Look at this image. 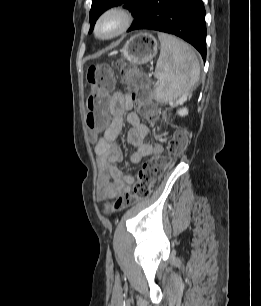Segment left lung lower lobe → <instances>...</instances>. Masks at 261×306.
Segmentation results:
<instances>
[{"instance_id": "1", "label": "left lung lower lobe", "mask_w": 261, "mask_h": 306, "mask_svg": "<svg viewBox=\"0 0 261 306\" xmlns=\"http://www.w3.org/2000/svg\"><path fill=\"white\" fill-rule=\"evenodd\" d=\"M137 29L179 36L206 59L205 9L202 0H146L128 31Z\"/></svg>"}]
</instances>
